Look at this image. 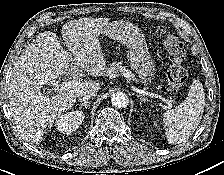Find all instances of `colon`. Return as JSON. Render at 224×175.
Masks as SVG:
<instances>
[{
  "label": "colon",
  "mask_w": 224,
  "mask_h": 175,
  "mask_svg": "<svg viewBox=\"0 0 224 175\" xmlns=\"http://www.w3.org/2000/svg\"><path fill=\"white\" fill-rule=\"evenodd\" d=\"M158 34L163 37L164 47L170 60L167 71L168 89L177 92L184 86L187 78L186 70L182 65L186 55L185 48L183 43L164 27L158 29Z\"/></svg>",
  "instance_id": "colon-1"
}]
</instances>
